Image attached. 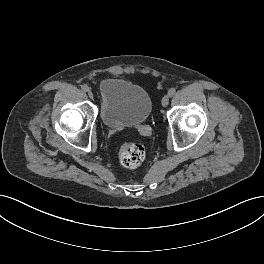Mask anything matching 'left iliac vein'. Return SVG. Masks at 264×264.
Wrapping results in <instances>:
<instances>
[{"label": "left iliac vein", "instance_id": "1", "mask_svg": "<svg viewBox=\"0 0 264 264\" xmlns=\"http://www.w3.org/2000/svg\"><path fill=\"white\" fill-rule=\"evenodd\" d=\"M169 103V97L167 95H165L163 98H162V101H161V104L163 107H166Z\"/></svg>", "mask_w": 264, "mask_h": 264}]
</instances>
